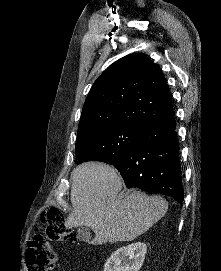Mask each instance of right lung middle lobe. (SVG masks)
Instances as JSON below:
<instances>
[{
  "instance_id": "1",
  "label": "right lung middle lobe",
  "mask_w": 221,
  "mask_h": 271,
  "mask_svg": "<svg viewBox=\"0 0 221 271\" xmlns=\"http://www.w3.org/2000/svg\"><path fill=\"white\" fill-rule=\"evenodd\" d=\"M144 131L140 127L116 125L77 137L75 163L101 161L113 164L138 143Z\"/></svg>"
}]
</instances>
